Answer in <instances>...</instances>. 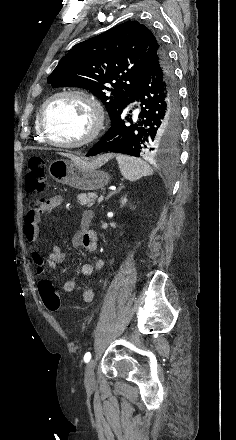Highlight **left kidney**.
Wrapping results in <instances>:
<instances>
[{"label": "left kidney", "mask_w": 236, "mask_h": 440, "mask_svg": "<svg viewBox=\"0 0 236 440\" xmlns=\"http://www.w3.org/2000/svg\"><path fill=\"white\" fill-rule=\"evenodd\" d=\"M126 202H127V198L124 197V198L121 200V207L124 206V205L126 204Z\"/></svg>", "instance_id": "1"}]
</instances>
